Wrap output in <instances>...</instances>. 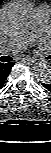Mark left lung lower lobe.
Masks as SVG:
<instances>
[{"label":"left lung lower lobe","instance_id":"left-lung-lower-lobe-1","mask_svg":"<svg viewBox=\"0 0 51 153\" xmlns=\"http://www.w3.org/2000/svg\"><path fill=\"white\" fill-rule=\"evenodd\" d=\"M46 89H48L49 91H51V82L49 83H43L42 84Z\"/></svg>","mask_w":51,"mask_h":153}]
</instances>
